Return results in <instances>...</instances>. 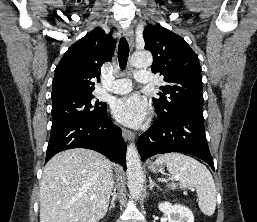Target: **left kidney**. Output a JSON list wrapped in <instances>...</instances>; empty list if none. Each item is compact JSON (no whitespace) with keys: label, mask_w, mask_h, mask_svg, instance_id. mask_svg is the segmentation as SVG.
<instances>
[{"label":"left kidney","mask_w":257,"mask_h":222,"mask_svg":"<svg viewBox=\"0 0 257 222\" xmlns=\"http://www.w3.org/2000/svg\"><path fill=\"white\" fill-rule=\"evenodd\" d=\"M159 210L167 215L168 222H194L192 211L183 205L166 201L159 204Z\"/></svg>","instance_id":"1"}]
</instances>
